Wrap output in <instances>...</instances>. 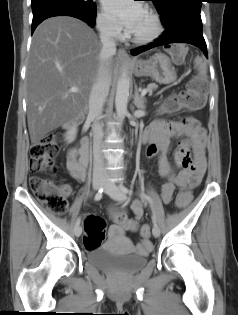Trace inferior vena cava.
<instances>
[{
  "label": "inferior vena cava",
  "instance_id": "1",
  "mask_svg": "<svg viewBox=\"0 0 238 315\" xmlns=\"http://www.w3.org/2000/svg\"><path fill=\"white\" fill-rule=\"evenodd\" d=\"M100 41L102 49L97 75L89 97L88 114L93 119V179H104L107 176L102 154L103 124L99 122V118L110 89V60L116 53L114 31L111 24L102 23L100 25Z\"/></svg>",
  "mask_w": 238,
  "mask_h": 315
}]
</instances>
